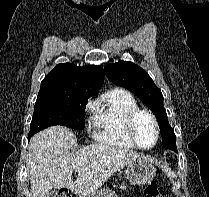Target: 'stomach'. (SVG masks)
Wrapping results in <instances>:
<instances>
[{
	"label": "stomach",
	"mask_w": 209,
	"mask_h": 197,
	"mask_svg": "<svg viewBox=\"0 0 209 197\" xmlns=\"http://www.w3.org/2000/svg\"><path fill=\"white\" fill-rule=\"evenodd\" d=\"M155 168L146 158H137L131 161L126 169L128 180L134 185H145L155 177ZM85 197H117L114 191L101 189Z\"/></svg>",
	"instance_id": "obj_1"
}]
</instances>
